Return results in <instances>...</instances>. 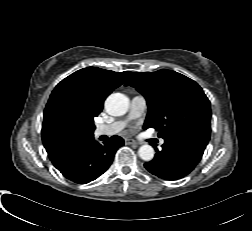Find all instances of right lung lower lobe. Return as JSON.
<instances>
[{
	"label": "right lung lower lobe",
	"mask_w": 252,
	"mask_h": 231,
	"mask_svg": "<svg viewBox=\"0 0 252 231\" xmlns=\"http://www.w3.org/2000/svg\"><path fill=\"white\" fill-rule=\"evenodd\" d=\"M123 144L124 140L119 136L111 137L103 145L94 139V135L81 137L69 147L64 162L56 168L65 178L86 184L108 169Z\"/></svg>",
	"instance_id": "1"
}]
</instances>
